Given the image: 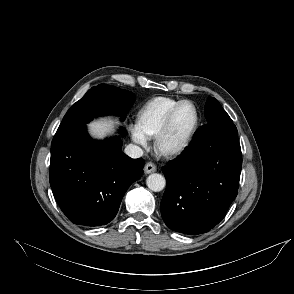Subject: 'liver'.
Returning a JSON list of instances; mask_svg holds the SVG:
<instances>
[{
	"label": "liver",
	"mask_w": 294,
	"mask_h": 294,
	"mask_svg": "<svg viewBox=\"0 0 294 294\" xmlns=\"http://www.w3.org/2000/svg\"><path fill=\"white\" fill-rule=\"evenodd\" d=\"M116 122L111 119H100L93 121L89 124V130L93 137L102 138L108 132L113 130V126Z\"/></svg>",
	"instance_id": "6515ba94"
}]
</instances>
